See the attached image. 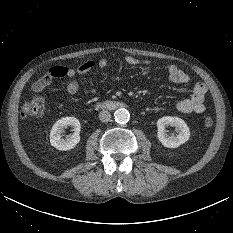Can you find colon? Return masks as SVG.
<instances>
[{"instance_id": "colon-1", "label": "colon", "mask_w": 233, "mask_h": 233, "mask_svg": "<svg viewBox=\"0 0 233 233\" xmlns=\"http://www.w3.org/2000/svg\"><path fill=\"white\" fill-rule=\"evenodd\" d=\"M45 111V101L41 96H33L28 101H26L21 109V116L23 118L28 117H41ZM214 123L212 117L208 116L204 119V125L206 127H211Z\"/></svg>"}]
</instances>
